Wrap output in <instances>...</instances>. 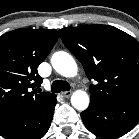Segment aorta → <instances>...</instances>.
<instances>
[{
  "label": "aorta",
  "instance_id": "aorta-1",
  "mask_svg": "<svg viewBox=\"0 0 139 139\" xmlns=\"http://www.w3.org/2000/svg\"><path fill=\"white\" fill-rule=\"evenodd\" d=\"M51 64L53 68L64 77H74L78 71L74 58L64 51L54 53L51 58ZM89 102V96L85 91L76 90L71 96L72 106L79 111L86 110L89 106Z\"/></svg>",
  "mask_w": 139,
  "mask_h": 139
}]
</instances>
